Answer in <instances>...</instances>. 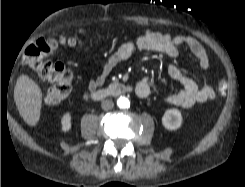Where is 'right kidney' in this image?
<instances>
[{
  "instance_id": "1",
  "label": "right kidney",
  "mask_w": 245,
  "mask_h": 187,
  "mask_svg": "<svg viewBox=\"0 0 245 187\" xmlns=\"http://www.w3.org/2000/svg\"><path fill=\"white\" fill-rule=\"evenodd\" d=\"M71 119H72V116L70 113H66L63 115L61 119V125H62L61 129L63 132H68L71 129L72 127Z\"/></svg>"
}]
</instances>
